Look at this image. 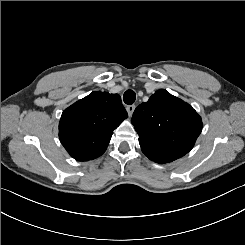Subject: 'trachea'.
Wrapping results in <instances>:
<instances>
[{"label": "trachea", "instance_id": "trachea-1", "mask_svg": "<svg viewBox=\"0 0 245 245\" xmlns=\"http://www.w3.org/2000/svg\"><path fill=\"white\" fill-rule=\"evenodd\" d=\"M136 99V94L133 90L129 89L127 90L123 95V100L126 104L131 105L134 103Z\"/></svg>", "mask_w": 245, "mask_h": 245}]
</instances>
